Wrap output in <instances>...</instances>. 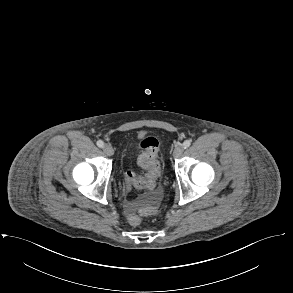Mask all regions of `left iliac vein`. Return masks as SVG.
I'll use <instances>...</instances> for the list:
<instances>
[{
    "instance_id": "1",
    "label": "left iliac vein",
    "mask_w": 293,
    "mask_h": 293,
    "mask_svg": "<svg viewBox=\"0 0 293 293\" xmlns=\"http://www.w3.org/2000/svg\"><path fill=\"white\" fill-rule=\"evenodd\" d=\"M184 152L183 145H177L173 151V157L179 158Z\"/></svg>"
}]
</instances>
